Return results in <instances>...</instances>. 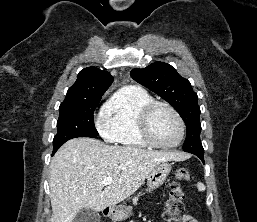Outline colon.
<instances>
[{"mask_svg":"<svg viewBox=\"0 0 257 222\" xmlns=\"http://www.w3.org/2000/svg\"><path fill=\"white\" fill-rule=\"evenodd\" d=\"M189 178L188 170L179 168L175 171V181L169 186L168 198L163 212V219L166 222H177L179 220L185 198L182 183L187 182Z\"/></svg>","mask_w":257,"mask_h":222,"instance_id":"colon-1","label":"colon"}]
</instances>
